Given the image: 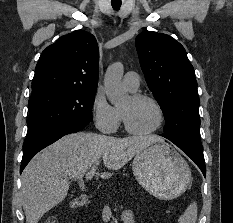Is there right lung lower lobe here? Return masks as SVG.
I'll return each instance as SVG.
<instances>
[{
  "instance_id": "obj_1",
  "label": "right lung lower lobe",
  "mask_w": 233,
  "mask_h": 223,
  "mask_svg": "<svg viewBox=\"0 0 233 223\" xmlns=\"http://www.w3.org/2000/svg\"><path fill=\"white\" fill-rule=\"evenodd\" d=\"M88 124L83 121H73V122L65 123L59 128H57L56 130L48 133L46 136H44L43 138L35 142L29 148L24 150L22 163L20 167V173L23 171V169L28 164V162L32 159V157L36 153H38L40 150L54 143L55 141H57L59 138H61L64 135L75 133V132L82 130Z\"/></svg>"
}]
</instances>
